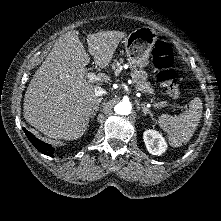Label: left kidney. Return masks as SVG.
I'll list each match as a JSON object with an SVG mask.
<instances>
[{
    "instance_id": "1",
    "label": "left kidney",
    "mask_w": 221,
    "mask_h": 221,
    "mask_svg": "<svg viewBox=\"0 0 221 221\" xmlns=\"http://www.w3.org/2000/svg\"><path fill=\"white\" fill-rule=\"evenodd\" d=\"M146 148L152 155H161L166 151L167 143L163 136L155 130H146L143 134Z\"/></svg>"
}]
</instances>
